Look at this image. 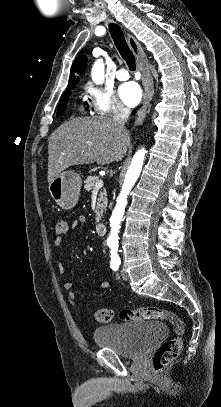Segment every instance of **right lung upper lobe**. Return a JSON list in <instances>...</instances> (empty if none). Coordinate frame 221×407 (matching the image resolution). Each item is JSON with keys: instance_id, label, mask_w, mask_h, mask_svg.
Instances as JSON below:
<instances>
[{"instance_id": "right-lung-upper-lobe-1", "label": "right lung upper lobe", "mask_w": 221, "mask_h": 407, "mask_svg": "<svg viewBox=\"0 0 221 407\" xmlns=\"http://www.w3.org/2000/svg\"><path fill=\"white\" fill-rule=\"evenodd\" d=\"M87 66V57L86 55L78 56L71 67V75L68 82L67 89L74 88V86L79 82V77L77 74H81L85 71Z\"/></svg>"}]
</instances>
